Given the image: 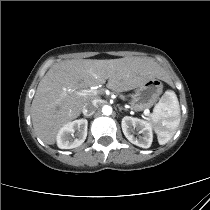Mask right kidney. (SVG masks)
<instances>
[{
    "instance_id": "obj_1",
    "label": "right kidney",
    "mask_w": 210,
    "mask_h": 210,
    "mask_svg": "<svg viewBox=\"0 0 210 210\" xmlns=\"http://www.w3.org/2000/svg\"><path fill=\"white\" fill-rule=\"evenodd\" d=\"M88 121L79 119L66 123L57 134V145L60 149H72L80 146L87 137Z\"/></svg>"
}]
</instances>
